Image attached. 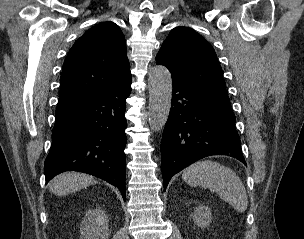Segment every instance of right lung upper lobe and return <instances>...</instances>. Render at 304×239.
I'll return each instance as SVG.
<instances>
[{"label": "right lung upper lobe", "mask_w": 304, "mask_h": 239, "mask_svg": "<svg viewBox=\"0 0 304 239\" xmlns=\"http://www.w3.org/2000/svg\"><path fill=\"white\" fill-rule=\"evenodd\" d=\"M130 76L121 29L113 22L98 24L74 43L64 61L56 111L84 102Z\"/></svg>", "instance_id": "right-lung-upper-lobe-1"}]
</instances>
